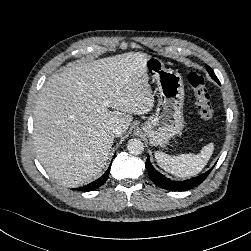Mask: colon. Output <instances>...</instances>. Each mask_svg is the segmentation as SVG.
<instances>
[{
    "label": "colon",
    "instance_id": "1",
    "mask_svg": "<svg viewBox=\"0 0 251 251\" xmlns=\"http://www.w3.org/2000/svg\"><path fill=\"white\" fill-rule=\"evenodd\" d=\"M187 79L192 87L199 116L206 122L214 119V108L210 101V95L205 86V79L201 72L189 70Z\"/></svg>",
    "mask_w": 251,
    "mask_h": 251
}]
</instances>
